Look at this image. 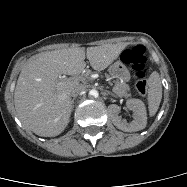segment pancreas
Here are the masks:
<instances>
[{"mask_svg":"<svg viewBox=\"0 0 187 187\" xmlns=\"http://www.w3.org/2000/svg\"><path fill=\"white\" fill-rule=\"evenodd\" d=\"M129 86L126 83H116L113 87L114 93L119 97H129L131 94L129 93Z\"/></svg>","mask_w":187,"mask_h":187,"instance_id":"cf45deb5","label":"pancreas"}]
</instances>
